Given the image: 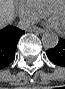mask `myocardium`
Wrapping results in <instances>:
<instances>
[{
  "mask_svg": "<svg viewBox=\"0 0 65 89\" xmlns=\"http://www.w3.org/2000/svg\"><path fill=\"white\" fill-rule=\"evenodd\" d=\"M57 5H63L65 7V2L63 0H56V1L50 2L46 7L47 15L50 16V11L52 7L57 6ZM58 30L59 32H64V29L59 28Z\"/></svg>",
  "mask_w": 65,
  "mask_h": 89,
  "instance_id": "f54148a6",
  "label": "myocardium"
}]
</instances>
